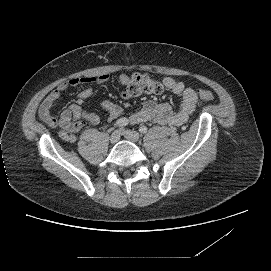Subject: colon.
<instances>
[{"mask_svg":"<svg viewBox=\"0 0 271 271\" xmlns=\"http://www.w3.org/2000/svg\"><path fill=\"white\" fill-rule=\"evenodd\" d=\"M126 90L130 96H139L141 94H160L163 87L152 76L137 73L129 79ZM196 93L200 99L205 101H213L215 99L214 94L205 89H198Z\"/></svg>","mask_w":271,"mask_h":271,"instance_id":"colon-1","label":"colon"}]
</instances>
